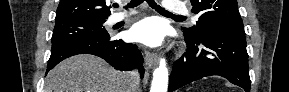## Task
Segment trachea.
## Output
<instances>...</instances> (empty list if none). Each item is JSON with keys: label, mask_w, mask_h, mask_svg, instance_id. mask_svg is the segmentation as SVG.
Segmentation results:
<instances>
[{"label": "trachea", "mask_w": 289, "mask_h": 92, "mask_svg": "<svg viewBox=\"0 0 289 92\" xmlns=\"http://www.w3.org/2000/svg\"><path fill=\"white\" fill-rule=\"evenodd\" d=\"M144 0H132L128 5L127 7L129 8H133V7H136L138 5H140L141 3H143ZM147 3L149 4L150 7H152L153 9H155L156 11L158 12H161V13H165V14H168V15H171V16H175V17H178V18H185L184 16H178V15H173L172 13H169L168 11H166L164 8L160 7L159 5H157L154 0H146ZM114 7H118V4H114L113 5Z\"/></svg>", "instance_id": "trachea-1"}]
</instances>
